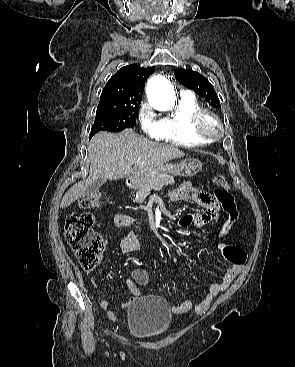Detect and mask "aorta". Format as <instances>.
<instances>
[{
    "instance_id": "762f6f07",
    "label": "aorta",
    "mask_w": 295,
    "mask_h": 367,
    "mask_svg": "<svg viewBox=\"0 0 295 367\" xmlns=\"http://www.w3.org/2000/svg\"><path fill=\"white\" fill-rule=\"evenodd\" d=\"M147 98L149 104L160 111H169L175 104V94L171 84L159 75L148 81Z\"/></svg>"
}]
</instances>
